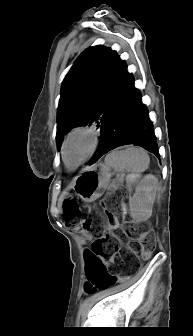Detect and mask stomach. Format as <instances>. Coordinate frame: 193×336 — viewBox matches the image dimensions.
Listing matches in <instances>:
<instances>
[{"instance_id": "stomach-1", "label": "stomach", "mask_w": 193, "mask_h": 336, "mask_svg": "<svg viewBox=\"0 0 193 336\" xmlns=\"http://www.w3.org/2000/svg\"><path fill=\"white\" fill-rule=\"evenodd\" d=\"M110 166L98 164L83 169L75 178L74 191L85 202L99 198L107 188L111 178Z\"/></svg>"}]
</instances>
